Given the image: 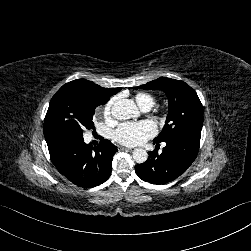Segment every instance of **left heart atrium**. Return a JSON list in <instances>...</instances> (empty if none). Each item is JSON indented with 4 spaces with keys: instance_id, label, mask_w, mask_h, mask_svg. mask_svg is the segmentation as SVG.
Segmentation results:
<instances>
[{
    "instance_id": "1",
    "label": "left heart atrium",
    "mask_w": 251,
    "mask_h": 251,
    "mask_svg": "<svg viewBox=\"0 0 251 251\" xmlns=\"http://www.w3.org/2000/svg\"><path fill=\"white\" fill-rule=\"evenodd\" d=\"M156 132V125L150 120L138 123L126 122L113 131V138L122 145H137L153 137Z\"/></svg>"
}]
</instances>
